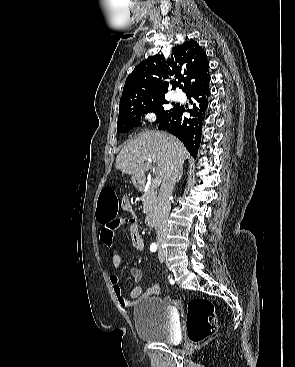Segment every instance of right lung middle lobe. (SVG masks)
Wrapping results in <instances>:
<instances>
[{"label":"right lung middle lobe","instance_id":"1","mask_svg":"<svg viewBox=\"0 0 295 367\" xmlns=\"http://www.w3.org/2000/svg\"><path fill=\"white\" fill-rule=\"evenodd\" d=\"M169 102L164 96L146 101H133L126 103L120 110L117 123V133L128 132L136 126H139L140 115L148 112H154L157 115L156 122H160L166 116L177 109V105L172 109H165Z\"/></svg>","mask_w":295,"mask_h":367}]
</instances>
